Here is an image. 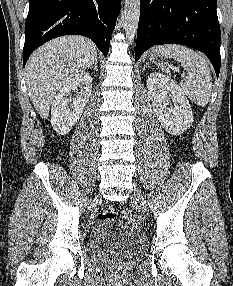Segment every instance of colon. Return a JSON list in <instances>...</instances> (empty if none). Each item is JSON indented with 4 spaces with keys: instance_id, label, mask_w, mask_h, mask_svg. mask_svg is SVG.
I'll use <instances>...</instances> for the list:
<instances>
[{
    "instance_id": "1",
    "label": "colon",
    "mask_w": 233,
    "mask_h": 286,
    "mask_svg": "<svg viewBox=\"0 0 233 286\" xmlns=\"http://www.w3.org/2000/svg\"><path fill=\"white\" fill-rule=\"evenodd\" d=\"M116 217V212L113 209V207L109 205H105L98 214V219L104 220V219H112ZM122 217L130 222H136L137 217L133 214H131L129 211H123Z\"/></svg>"
}]
</instances>
